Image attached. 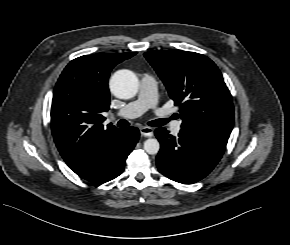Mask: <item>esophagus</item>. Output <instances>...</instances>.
Here are the masks:
<instances>
[{
	"mask_svg": "<svg viewBox=\"0 0 290 245\" xmlns=\"http://www.w3.org/2000/svg\"><path fill=\"white\" fill-rule=\"evenodd\" d=\"M140 133L145 137H152L154 135V129L148 126H144L140 128Z\"/></svg>",
	"mask_w": 290,
	"mask_h": 245,
	"instance_id": "obj_1",
	"label": "esophagus"
}]
</instances>
